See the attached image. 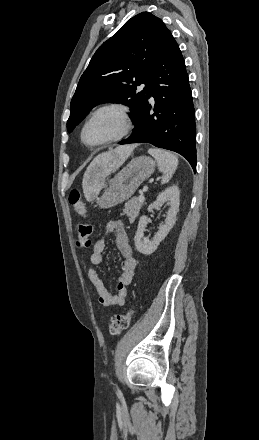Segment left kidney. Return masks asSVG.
Returning a JSON list of instances; mask_svg holds the SVG:
<instances>
[{
  "instance_id": "1",
  "label": "left kidney",
  "mask_w": 259,
  "mask_h": 440,
  "mask_svg": "<svg viewBox=\"0 0 259 440\" xmlns=\"http://www.w3.org/2000/svg\"><path fill=\"white\" fill-rule=\"evenodd\" d=\"M166 201L169 205V210L167 212L165 222L160 226L159 231L154 235L152 241L144 238V230L147 225L148 217L142 216L139 219L134 241L136 249L144 255H150L157 249L160 242L167 236L176 222V215L179 211L180 204V191L176 185L168 187L159 193L156 200L149 205L148 211L151 212L153 209L161 206Z\"/></svg>"
}]
</instances>
